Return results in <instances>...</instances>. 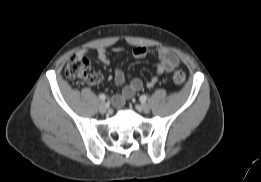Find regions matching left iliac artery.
<instances>
[{"label": "left iliac artery", "instance_id": "obj_1", "mask_svg": "<svg viewBox=\"0 0 261 182\" xmlns=\"http://www.w3.org/2000/svg\"><path fill=\"white\" fill-rule=\"evenodd\" d=\"M147 100V96L146 95H141L140 96V101L143 103V102H146Z\"/></svg>", "mask_w": 261, "mask_h": 182}]
</instances>
